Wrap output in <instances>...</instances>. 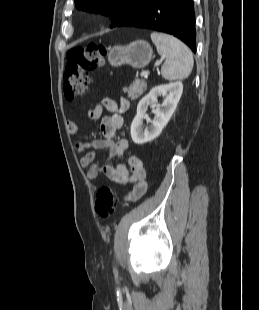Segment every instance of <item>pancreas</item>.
<instances>
[{
  "label": "pancreas",
  "instance_id": "1",
  "mask_svg": "<svg viewBox=\"0 0 259 310\" xmlns=\"http://www.w3.org/2000/svg\"><path fill=\"white\" fill-rule=\"evenodd\" d=\"M147 89V84L144 80L136 79L133 81V83L130 85V87H124L123 91L128 93V98L131 100H136L138 97H140L144 91Z\"/></svg>",
  "mask_w": 259,
  "mask_h": 310
}]
</instances>
